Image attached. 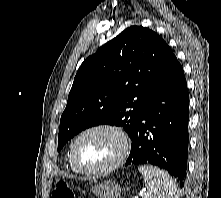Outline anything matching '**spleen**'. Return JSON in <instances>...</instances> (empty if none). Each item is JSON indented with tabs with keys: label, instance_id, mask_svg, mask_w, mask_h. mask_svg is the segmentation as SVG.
Instances as JSON below:
<instances>
[{
	"label": "spleen",
	"instance_id": "1",
	"mask_svg": "<svg viewBox=\"0 0 221 198\" xmlns=\"http://www.w3.org/2000/svg\"><path fill=\"white\" fill-rule=\"evenodd\" d=\"M138 170L147 188L144 198H178L176 182L168 173L152 165H141Z\"/></svg>",
	"mask_w": 221,
	"mask_h": 198
}]
</instances>
